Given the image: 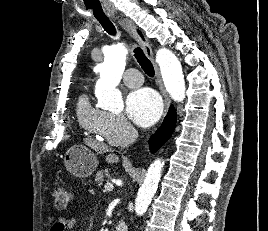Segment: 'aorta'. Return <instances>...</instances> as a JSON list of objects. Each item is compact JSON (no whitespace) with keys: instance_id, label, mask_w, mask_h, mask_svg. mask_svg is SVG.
I'll use <instances>...</instances> for the list:
<instances>
[{"instance_id":"1","label":"aorta","mask_w":268,"mask_h":231,"mask_svg":"<svg viewBox=\"0 0 268 231\" xmlns=\"http://www.w3.org/2000/svg\"><path fill=\"white\" fill-rule=\"evenodd\" d=\"M127 48L122 44L111 46L105 53L101 65L100 78L96 82L95 94L99 106L113 112L122 111L124 103L121 92L117 89L125 66ZM156 61L159 64L165 88L174 101L182 102L185 98V81L182 66L172 51L162 48L157 51ZM164 162L156 159L148 168L143 184L135 200V212L143 215L160 182Z\"/></svg>"}]
</instances>
